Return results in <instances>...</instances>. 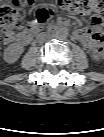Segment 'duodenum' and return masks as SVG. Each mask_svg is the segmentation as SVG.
I'll use <instances>...</instances> for the list:
<instances>
[{
	"label": "duodenum",
	"mask_w": 104,
	"mask_h": 137,
	"mask_svg": "<svg viewBox=\"0 0 104 137\" xmlns=\"http://www.w3.org/2000/svg\"><path fill=\"white\" fill-rule=\"evenodd\" d=\"M42 32L43 30L41 27L35 26L29 31L28 34H29V37L32 39L33 37L40 35Z\"/></svg>",
	"instance_id": "1"
}]
</instances>
